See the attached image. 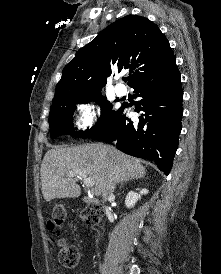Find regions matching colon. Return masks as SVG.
Wrapping results in <instances>:
<instances>
[{"label": "colon", "mask_w": 221, "mask_h": 274, "mask_svg": "<svg viewBox=\"0 0 221 274\" xmlns=\"http://www.w3.org/2000/svg\"><path fill=\"white\" fill-rule=\"evenodd\" d=\"M103 210L99 205H92L88 208L80 211V218L87 224H96L99 222ZM66 218V208L62 204H56L51 211V221L55 228H61ZM60 247L58 258L60 263L67 267L73 268L78 264L79 251L75 246L66 244L64 239H60L58 242Z\"/></svg>", "instance_id": "1"}]
</instances>
